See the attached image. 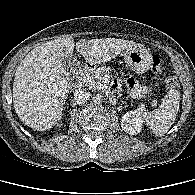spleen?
Returning <instances> with one entry per match:
<instances>
[{
	"instance_id": "1",
	"label": "spleen",
	"mask_w": 195,
	"mask_h": 195,
	"mask_svg": "<svg viewBox=\"0 0 195 195\" xmlns=\"http://www.w3.org/2000/svg\"><path fill=\"white\" fill-rule=\"evenodd\" d=\"M180 94L178 90L170 89L164 96L159 108L144 113L142 120L150 126L156 136H163L175 122L179 110Z\"/></svg>"
}]
</instances>
